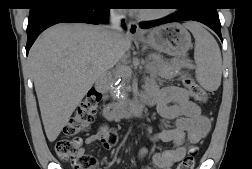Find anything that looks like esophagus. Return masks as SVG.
Listing matches in <instances>:
<instances>
[{
	"instance_id": "1",
	"label": "esophagus",
	"mask_w": 252,
	"mask_h": 169,
	"mask_svg": "<svg viewBox=\"0 0 252 169\" xmlns=\"http://www.w3.org/2000/svg\"><path fill=\"white\" fill-rule=\"evenodd\" d=\"M128 33L132 36H140L142 34L138 24L135 21L128 22Z\"/></svg>"
}]
</instances>
